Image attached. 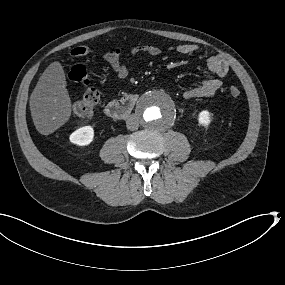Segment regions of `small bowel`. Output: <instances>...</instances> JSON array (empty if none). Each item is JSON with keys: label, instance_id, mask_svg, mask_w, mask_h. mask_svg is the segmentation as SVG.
I'll return each instance as SVG.
<instances>
[{"label": "small bowel", "instance_id": "1", "mask_svg": "<svg viewBox=\"0 0 285 285\" xmlns=\"http://www.w3.org/2000/svg\"><path fill=\"white\" fill-rule=\"evenodd\" d=\"M176 52L183 55H190L197 51V46L194 44H180L173 48ZM147 54L157 56L161 53V49L152 44H143L130 47L128 49H116L105 53L104 59L116 73L118 80H123L128 76V68L122 62L124 54L137 55ZM207 68L211 77L202 81L184 91L185 99L209 98L214 96L222 86V78L228 72V64L224 58L220 56H211L207 59Z\"/></svg>", "mask_w": 285, "mask_h": 285}]
</instances>
